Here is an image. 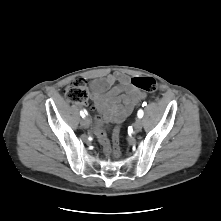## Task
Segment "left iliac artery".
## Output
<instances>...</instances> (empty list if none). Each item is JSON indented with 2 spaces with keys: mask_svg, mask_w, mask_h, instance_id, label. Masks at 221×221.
<instances>
[{
  "mask_svg": "<svg viewBox=\"0 0 221 221\" xmlns=\"http://www.w3.org/2000/svg\"><path fill=\"white\" fill-rule=\"evenodd\" d=\"M145 104H146V103L144 102L143 105H145ZM143 114H144V113H143L142 110H139L138 113H137V115H138L139 118H142V117H143Z\"/></svg>",
  "mask_w": 221,
  "mask_h": 221,
  "instance_id": "44dca946",
  "label": "left iliac artery"
}]
</instances>
